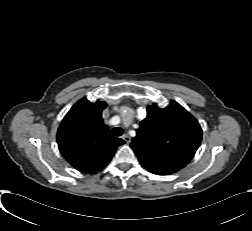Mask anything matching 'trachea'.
<instances>
[{"label":"trachea","instance_id":"obj_1","mask_svg":"<svg viewBox=\"0 0 252 231\" xmlns=\"http://www.w3.org/2000/svg\"><path fill=\"white\" fill-rule=\"evenodd\" d=\"M123 134V129L120 127H115L112 129V135L121 136Z\"/></svg>","mask_w":252,"mask_h":231}]
</instances>
